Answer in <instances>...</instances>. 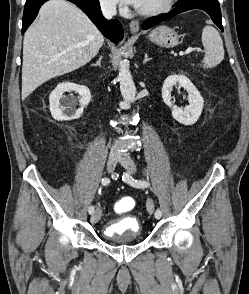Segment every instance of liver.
I'll use <instances>...</instances> for the list:
<instances>
[{
  "label": "liver",
  "instance_id": "1",
  "mask_svg": "<svg viewBox=\"0 0 249 294\" xmlns=\"http://www.w3.org/2000/svg\"><path fill=\"white\" fill-rule=\"evenodd\" d=\"M104 37L75 5L49 0L24 35L22 99L46 81L79 69L94 58Z\"/></svg>",
  "mask_w": 249,
  "mask_h": 294
}]
</instances>
